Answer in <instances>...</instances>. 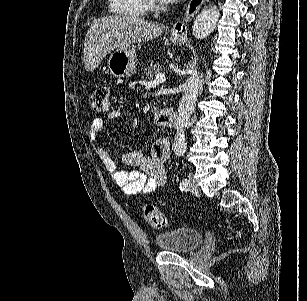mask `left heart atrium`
I'll return each instance as SVG.
<instances>
[{"label": "left heart atrium", "mask_w": 307, "mask_h": 301, "mask_svg": "<svg viewBox=\"0 0 307 301\" xmlns=\"http://www.w3.org/2000/svg\"><path fill=\"white\" fill-rule=\"evenodd\" d=\"M172 0H163V2L165 3V4H168L169 2H171Z\"/></svg>", "instance_id": "1"}]
</instances>
